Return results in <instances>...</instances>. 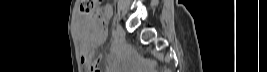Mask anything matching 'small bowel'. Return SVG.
I'll list each match as a JSON object with an SVG mask.
<instances>
[{"instance_id": "1", "label": "small bowel", "mask_w": 267, "mask_h": 72, "mask_svg": "<svg viewBox=\"0 0 267 72\" xmlns=\"http://www.w3.org/2000/svg\"><path fill=\"white\" fill-rule=\"evenodd\" d=\"M111 6L110 5H107L105 7V13L107 15H110L111 14ZM106 38V33H102L101 35H98L97 31L93 32L91 34V38H90V44L95 47L99 44H101ZM91 56V52L89 50H87L86 48L83 49V56H82V60L85 62V63H88L89 61V58ZM108 71H111V67L109 66L108 67Z\"/></svg>"}]
</instances>
